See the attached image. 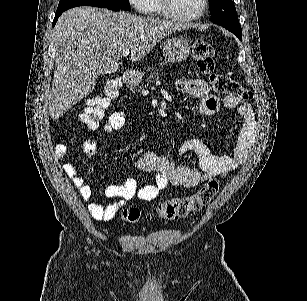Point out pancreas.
Returning a JSON list of instances; mask_svg holds the SVG:
<instances>
[{
	"label": "pancreas",
	"mask_w": 307,
	"mask_h": 301,
	"mask_svg": "<svg viewBox=\"0 0 307 301\" xmlns=\"http://www.w3.org/2000/svg\"><path fill=\"white\" fill-rule=\"evenodd\" d=\"M158 72H153V74H149L146 78L145 84H141L142 88H145V86H148V84H151V82H155L157 80Z\"/></svg>",
	"instance_id": "1"
}]
</instances>
